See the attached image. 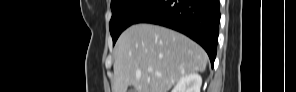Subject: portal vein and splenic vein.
Returning a JSON list of instances; mask_svg holds the SVG:
<instances>
[{
  "instance_id": "portal-vein-and-splenic-vein-1",
  "label": "portal vein and splenic vein",
  "mask_w": 296,
  "mask_h": 92,
  "mask_svg": "<svg viewBox=\"0 0 296 92\" xmlns=\"http://www.w3.org/2000/svg\"><path fill=\"white\" fill-rule=\"evenodd\" d=\"M148 71L149 72H152L153 70L150 68V69H148ZM158 76H160V74L159 73H156Z\"/></svg>"
}]
</instances>
